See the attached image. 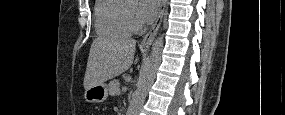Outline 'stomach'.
I'll list each match as a JSON object with an SVG mask.
<instances>
[{"label":"stomach","mask_w":285,"mask_h":115,"mask_svg":"<svg viewBox=\"0 0 285 115\" xmlns=\"http://www.w3.org/2000/svg\"><path fill=\"white\" fill-rule=\"evenodd\" d=\"M108 97V87L105 83L94 85L85 90L84 99L88 103H103Z\"/></svg>","instance_id":"0dacf381"}]
</instances>
